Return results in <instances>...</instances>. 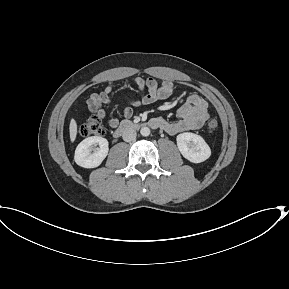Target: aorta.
Returning <instances> with one entry per match:
<instances>
[{
    "instance_id": "obj_1",
    "label": "aorta",
    "mask_w": 289,
    "mask_h": 289,
    "mask_svg": "<svg viewBox=\"0 0 289 289\" xmlns=\"http://www.w3.org/2000/svg\"><path fill=\"white\" fill-rule=\"evenodd\" d=\"M142 136L146 137L150 135V129L148 127H142L140 130Z\"/></svg>"
}]
</instances>
